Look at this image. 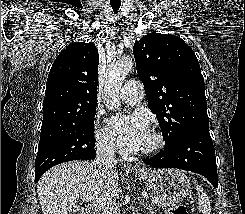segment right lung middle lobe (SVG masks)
Here are the masks:
<instances>
[{
  "instance_id": "obj_1",
  "label": "right lung middle lobe",
  "mask_w": 245,
  "mask_h": 214,
  "mask_svg": "<svg viewBox=\"0 0 245 214\" xmlns=\"http://www.w3.org/2000/svg\"><path fill=\"white\" fill-rule=\"evenodd\" d=\"M96 109L76 123L54 132L40 134L35 173L72 160H91L94 151V117Z\"/></svg>"
}]
</instances>
